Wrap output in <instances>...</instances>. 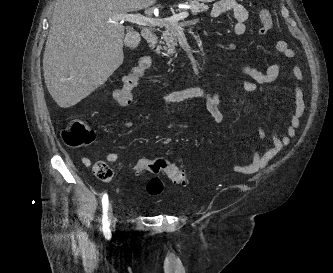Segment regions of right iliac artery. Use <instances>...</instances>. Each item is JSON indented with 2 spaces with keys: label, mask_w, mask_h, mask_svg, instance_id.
Here are the masks:
<instances>
[{
  "label": "right iliac artery",
  "mask_w": 333,
  "mask_h": 273,
  "mask_svg": "<svg viewBox=\"0 0 333 273\" xmlns=\"http://www.w3.org/2000/svg\"><path fill=\"white\" fill-rule=\"evenodd\" d=\"M108 205H109L108 195L105 193L102 197V207H103L102 230L106 239L111 238V231L109 228V221H108Z\"/></svg>",
  "instance_id": "1"
}]
</instances>
